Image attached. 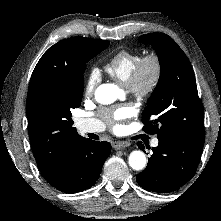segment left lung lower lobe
<instances>
[{
    "label": "left lung lower lobe",
    "mask_w": 221,
    "mask_h": 221,
    "mask_svg": "<svg viewBox=\"0 0 221 221\" xmlns=\"http://www.w3.org/2000/svg\"><path fill=\"white\" fill-rule=\"evenodd\" d=\"M158 139V147L152 148L153 154L148 159V165L136 176V181L145 190L169 193L194 176L204 137L167 136ZM138 145L141 148V142Z\"/></svg>",
    "instance_id": "obj_1"
}]
</instances>
